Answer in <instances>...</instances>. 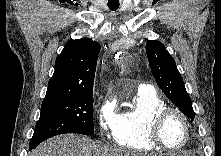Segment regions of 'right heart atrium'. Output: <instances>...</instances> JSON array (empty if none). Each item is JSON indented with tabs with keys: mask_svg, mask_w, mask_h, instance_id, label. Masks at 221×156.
<instances>
[{
	"mask_svg": "<svg viewBox=\"0 0 221 156\" xmlns=\"http://www.w3.org/2000/svg\"><path fill=\"white\" fill-rule=\"evenodd\" d=\"M117 119L116 102L110 96H106L100 102L97 109V123L101 135L113 134Z\"/></svg>",
	"mask_w": 221,
	"mask_h": 156,
	"instance_id": "right-heart-atrium-1",
	"label": "right heart atrium"
}]
</instances>
